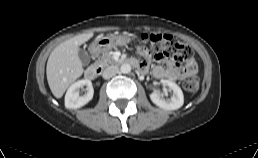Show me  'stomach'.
Returning <instances> with one entry per match:
<instances>
[{"label":"stomach","instance_id":"0dacf381","mask_svg":"<svg viewBox=\"0 0 258 158\" xmlns=\"http://www.w3.org/2000/svg\"><path fill=\"white\" fill-rule=\"evenodd\" d=\"M127 35L114 34L97 38L92 44L91 49L95 54H100L110 50L115 46H123L131 41Z\"/></svg>","mask_w":258,"mask_h":158}]
</instances>
